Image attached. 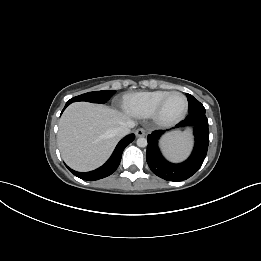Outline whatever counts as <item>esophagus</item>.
I'll return each mask as SVG.
<instances>
[{
    "label": "esophagus",
    "mask_w": 261,
    "mask_h": 261,
    "mask_svg": "<svg viewBox=\"0 0 261 261\" xmlns=\"http://www.w3.org/2000/svg\"><path fill=\"white\" fill-rule=\"evenodd\" d=\"M137 137H143L146 135V131L143 128H139L135 132Z\"/></svg>",
    "instance_id": "34e87169"
}]
</instances>
